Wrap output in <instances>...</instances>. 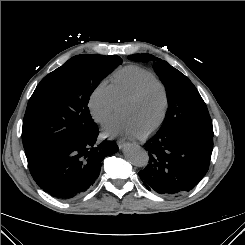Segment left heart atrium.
Here are the masks:
<instances>
[{"label":"left heart atrium","mask_w":245,"mask_h":245,"mask_svg":"<svg viewBox=\"0 0 245 245\" xmlns=\"http://www.w3.org/2000/svg\"><path fill=\"white\" fill-rule=\"evenodd\" d=\"M106 135L123 133L128 137H138L140 135L124 118L122 122H114L108 125L104 130Z\"/></svg>","instance_id":"39dd6f15"}]
</instances>
